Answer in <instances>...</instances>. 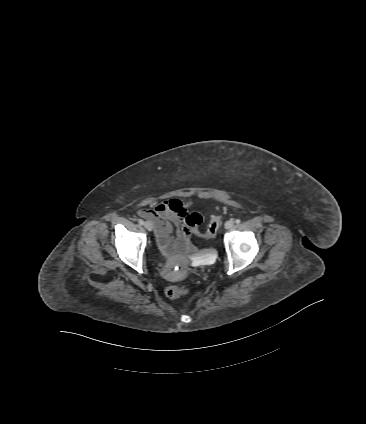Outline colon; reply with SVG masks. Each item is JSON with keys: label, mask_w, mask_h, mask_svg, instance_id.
I'll return each mask as SVG.
<instances>
[{"label": "colon", "mask_w": 366, "mask_h": 424, "mask_svg": "<svg viewBox=\"0 0 366 424\" xmlns=\"http://www.w3.org/2000/svg\"><path fill=\"white\" fill-rule=\"evenodd\" d=\"M203 221L202 214L198 211L186 213L183 217L184 227L187 234H194L199 238L208 239L215 236L221 221V216H214L207 224L205 230L200 231V225ZM190 289L186 285H170L166 289V293L170 298H180L189 293Z\"/></svg>", "instance_id": "obj_1"}]
</instances>
